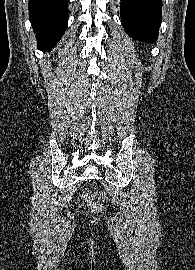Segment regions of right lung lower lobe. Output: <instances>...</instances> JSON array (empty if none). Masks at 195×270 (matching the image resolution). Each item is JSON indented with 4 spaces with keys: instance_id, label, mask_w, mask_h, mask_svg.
<instances>
[{
    "instance_id": "right-lung-lower-lobe-1",
    "label": "right lung lower lobe",
    "mask_w": 195,
    "mask_h": 270,
    "mask_svg": "<svg viewBox=\"0 0 195 270\" xmlns=\"http://www.w3.org/2000/svg\"><path fill=\"white\" fill-rule=\"evenodd\" d=\"M68 1L29 0V19L39 50L50 51L64 34L68 22Z\"/></svg>"
}]
</instances>
